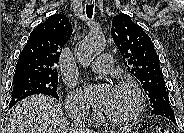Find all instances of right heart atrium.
Segmentation results:
<instances>
[{
  "label": "right heart atrium",
  "mask_w": 184,
  "mask_h": 133,
  "mask_svg": "<svg viewBox=\"0 0 184 133\" xmlns=\"http://www.w3.org/2000/svg\"><path fill=\"white\" fill-rule=\"evenodd\" d=\"M66 109L72 115L86 116L89 107L81 96L76 92H70L66 99Z\"/></svg>",
  "instance_id": "right-heart-atrium-1"
}]
</instances>
